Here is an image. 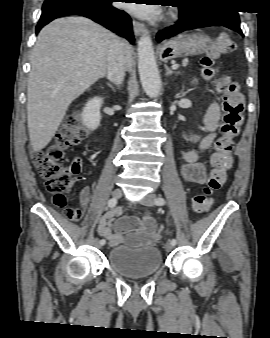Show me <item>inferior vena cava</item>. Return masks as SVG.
<instances>
[{
    "label": "inferior vena cava",
    "instance_id": "1",
    "mask_svg": "<svg viewBox=\"0 0 270 338\" xmlns=\"http://www.w3.org/2000/svg\"><path fill=\"white\" fill-rule=\"evenodd\" d=\"M127 67V56L125 50V41L115 38L110 46L107 77L113 83L120 85L125 76Z\"/></svg>",
    "mask_w": 270,
    "mask_h": 338
}]
</instances>
